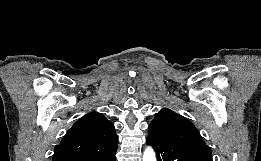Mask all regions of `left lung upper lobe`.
Wrapping results in <instances>:
<instances>
[{"label":"left lung upper lobe","instance_id":"left-lung-upper-lobe-1","mask_svg":"<svg viewBox=\"0 0 261 161\" xmlns=\"http://www.w3.org/2000/svg\"><path fill=\"white\" fill-rule=\"evenodd\" d=\"M149 139L171 145L191 147L211 153L195 126L185 117L162 109L156 114L148 128Z\"/></svg>","mask_w":261,"mask_h":161}]
</instances>
